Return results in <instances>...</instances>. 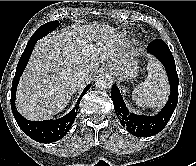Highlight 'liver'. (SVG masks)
I'll return each mask as SVG.
<instances>
[{
  "instance_id": "liver-1",
  "label": "liver",
  "mask_w": 196,
  "mask_h": 166,
  "mask_svg": "<svg viewBox=\"0 0 196 166\" xmlns=\"http://www.w3.org/2000/svg\"><path fill=\"white\" fill-rule=\"evenodd\" d=\"M115 29L105 24L74 25L37 41L20 78L16 107L33 121L61 112L83 82L75 79L77 69L88 73L91 81L99 63L110 68L119 58L132 57Z\"/></svg>"
}]
</instances>
